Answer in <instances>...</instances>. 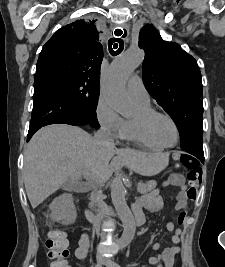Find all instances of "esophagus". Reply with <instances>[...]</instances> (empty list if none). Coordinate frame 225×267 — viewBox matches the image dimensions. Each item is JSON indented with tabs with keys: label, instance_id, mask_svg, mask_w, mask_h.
Returning <instances> with one entry per match:
<instances>
[{
	"label": "esophagus",
	"instance_id": "34e87169",
	"mask_svg": "<svg viewBox=\"0 0 225 267\" xmlns=\"http://www.w3.org/2000/svg\"><path fill=\"white\" fill-rule=\"evenodd\" d=\"M123 28L125 29V31H126V36H127L128 31H127V26H126V25H122V26H120V27L115 28L114 31H113V35L116 36V34H115V30H116V29H122V31H123L122 35H124L125 31L123 30ZM126 36H125V37H126ZM116 37H117V36H116Z\"/></svg>",
	"mask_w": 225,
	"mask_h": 267
}]
</instances>
